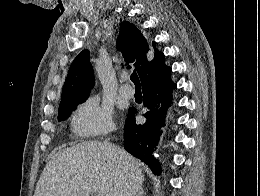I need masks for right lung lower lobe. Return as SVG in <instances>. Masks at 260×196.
<instances>
[{"label":"right lung lower lobe","instance_id":"98d812e1","mask_svg":"<svg viewBox=\"0 0 260 196\" xmlns=\"http://www.w3.org/2000/svg\"><path fill=\"white\" fill-rule=\"evenodd\" d=\"M171 70L165 75L142 84L143 104L148 109L143 114L144 124L135 122V108L129 109L124 127V148L136 158L141 159L156 173H160V163L152 153L159 141L160 128L165 124V115L172 99L176 84L170 79ZM159 103L162 106L159 108Z\"/></svg>","mask_w":260,"mask_h":196}]
</instances>
